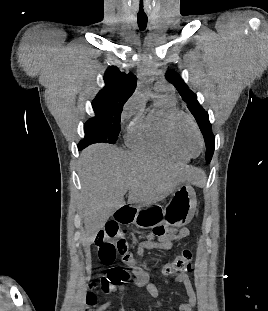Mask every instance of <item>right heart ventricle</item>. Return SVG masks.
Segmentation results:
<instances>
[{
    "mask_svg": "<svg viewBox=\"0 0 268 311\" xmlns=\"http://www.w3.org/2000/svg\"><path fill=\"white\" fill-rule=\"evenodd\" d=\"M175 110L176 103L172 96L158 94L154 107L148 112L140 111L131 122L126 136L128 145L144 154L188 162L189 158L177 152L167 138L166 120Z\"/></svg>",
    "mask_w": 268,
    "mask_h": 311,
    "instance_id": "e07e8e85",
    "label": "right heart ventricle"
}]
</instances>
